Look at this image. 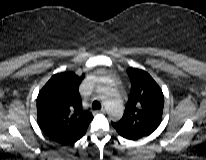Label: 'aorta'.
I'll return each mask as SVG.
<instances>
[{
    "label": "aorta",
    "mask_w": 206,
    "mask_h": 160,
    "mask_svg": "<svg viewBox=\"0 0 206 160\" xmlns=\"http://www.w3.org/2000/svg\"><path fill=\"white\" fill-rule=\"evenodd\" d=\"M104 104L107 108L108 115L114 119H120L123 115L124 107L122 101L117 96L116 93H112L111 97H107L104 99Z\"/></svg>",
    "instance_id": "762f6f07"
}]
</instances>
